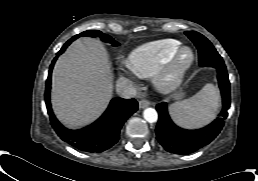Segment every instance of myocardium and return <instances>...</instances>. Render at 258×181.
<instances>
[{"label":"myocardium","instance_id":"myocardium-1","mask_svg":"<svg viewBox=\"0 0 258 181\" xmlns=\"http://www.w3.org/2000/svg\"><path fill=\"white\" fill-rule=\"evenodd\" d=\"M185 54H188L186 59H184ZM194 61L195 54L191 48L187 46L179 47L153 76V82L157 90L168 94L179 88L185 74L192 67Z\"/></svg>","mask_w":258,"mask_h":181}]
</instances>
